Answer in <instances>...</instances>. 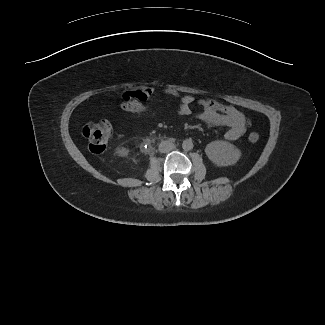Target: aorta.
<instances>
[{
  "label": "aorta",
  "mask_w": 325,
  "mask_h": 325,
  "mask_svg": "<svg viewBox=\"0 0 325 325\" xmlns=\"http://www.w3.org/2000/svg\"><path fill=\"white\" fill-rule=\"evenodd\" d=\"M182 148L185 151H190L193 149V142L190 139L184 140L182 143Z\"/></svg>",
  "instance_id": "obj_1"
}]
</instances>
